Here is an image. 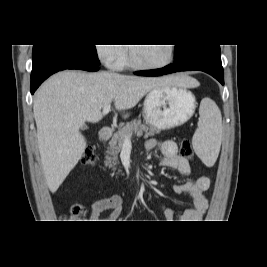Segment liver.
I'll return each instance as SVG.
<instances>
[{"mask_svg": "<svg viewBox=\"0 0 267 267\" xmlns=\"http://www.w3.org/2000/svg\"><path fill=\"white\" fill-rule=\"evenodd\" d=\"M165 86L198 87L199 82L185 75L152 78L62 71L42 84L35 93L33 112L49 190L55 193L81 159L86 140L79 129L86 121H100L101 109L112 101L116 110L125 111L151 90Z\"/></svg>", "mask_w": 267, "mask_h": 267, "instance_id": "6515ba94", "label": "liver"}]
</instances>
